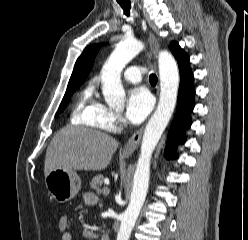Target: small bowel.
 <instances>
[{
    "label": "small bowel",
    "mask_w": 248,
    "mask_h": 240,
    "mask_svg": "<svg viewBox=\"0 0 248 240\" xmlns=\"http://www.w3.org/2000/svg\"><path fill=\"white\" fill-rule=\"evenodd\" d=\"M86 204L93 205L97 202V197L92 193H86L84 195ZM61 240H73V234L70 230H67L61 234Z\"/></svg>",
    "instance_id": "obj_1"
}]
</instances>
